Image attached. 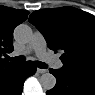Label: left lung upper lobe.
Wrapping results in <instances>:
<instances>
[{"mask_svg": "<svg viewBox=\"0 0 95 95\" xmlns=\"http://www.w3.org/2000/svg\"><path fill=\"white\" fill-rule=\"evenodd\" d=\"M29 22L44 35L50 49L62 50L63 68L95 76V17L62 7L33 12Z\"/></svg>", "mask_w": 95, "mask_h": 95, "instance_id": "obj_1", "label": "left lung upper lobe"}]
</instances>
